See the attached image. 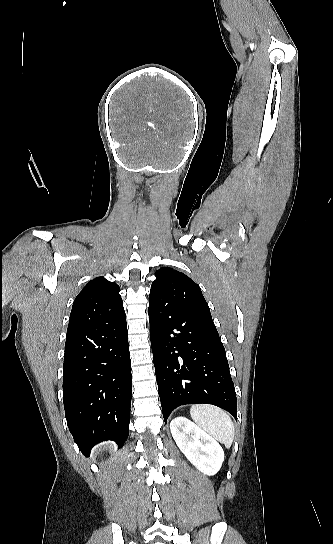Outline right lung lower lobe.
Wrapping results in <instances>:
<instances>
[{
    "instance_id": "98d812e1",
    "label": "right lung lower lobe",
    "mask_w": 333,
    "mask_h": 544,
    "mask_svg": "<svg viewBox=\"0 0 333 544\" xmlns=\"http://www.w3.org/2000/svg\"><path fill=\"white\" fill-rule=\"evenodd\" d=\"M132 397L125 313L69 332L63 364L67 424L79 450L128 437Z\"/></svg>"
}]
</instances>
